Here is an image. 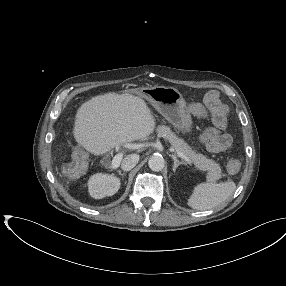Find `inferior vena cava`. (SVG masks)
I'll use <instances>...</instances> for the list:
<instances>
[{
  "label": "inferior vena cava",
  "instance_id": "602c4592",
  "mask_svg": "<svg viewBox=\"0 0 286 286\" xmlns=\"http://www.w3.org/2000/svg\"><path fill=\"white\" fill-rule=\"evenodd\" d=\"M138 161H139V155L137 154L127 155L121 163V168L123 171H130L136 166Z\"/></svg>",
  "mask_w": 286,
  "mask_h": 286
}]
</instances>
